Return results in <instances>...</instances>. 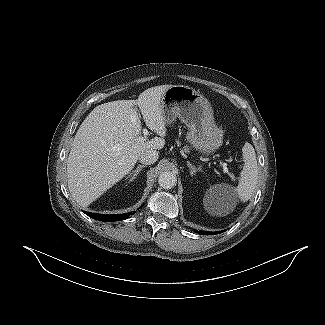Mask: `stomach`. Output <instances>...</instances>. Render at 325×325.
<instances>
[{"label":"stomach","instance_id":"obj_1","mask_svg":"<svg viewBox=\"0 0 325 325\" xmlns=\"http://www.w3.org/2000/svg\"><path fill=\"white\" fill-rule=\"evenodd\" d=\"M162 113L166 124L176 118L189 129L187 141L204 154L217 150L224 132L214 121L213 109L206 97L185 85H172L162 96Z\"/></svg>","mask_w":325,"mask_h":325}]
</instances>
